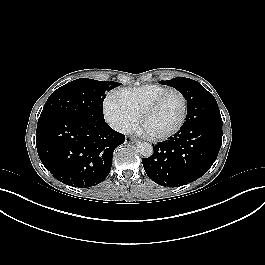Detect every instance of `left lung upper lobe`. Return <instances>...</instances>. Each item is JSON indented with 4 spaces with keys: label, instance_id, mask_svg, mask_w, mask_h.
Segmentation results:
<instances>
[{
    "label": "left lung upper lobe",
    "instance_id": "obj_1",
    "mask_svg": "<svg viewBox=\"0 0 265 265\" xmlns=\"http://www.w3.org/2000/svg\"><path fill=\"white\" fill-rule=\"evenodd\" d=\"M160 84L172 86V87L176 88L177 90H179L182 93V95L184 96V98L187 100L188 103L191 100L192 92L196 88L203 87L197 81L189 79V78H185V77H177V78L167 80V81H160ZM188 118H189V116L186 117V119H188Z\"/></svg>",
    "mask_w": 265,
    "mask_h": 265
}]
</instances>
